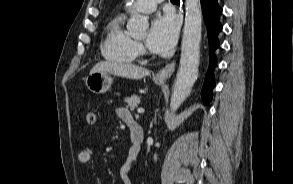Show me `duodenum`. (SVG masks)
Returning a JSON list of instances; mask_svg holds the SVG:
<instances>
[{"label":"duodenum","instance_id":"obj_1","mask_svg":"<svg viewBox=\"0 0 293 184\" xmlns=\"http://www.w3.org/2000/svg\"><path fill=\"white\" fill-rule=\"evenodd\" d=\"M128 126L130 129L132 149L136 154H138L144 138L143 128L135 121L130 122Z\"/></svg>","mask_w":293,"mask_h":184}]
</instances>
